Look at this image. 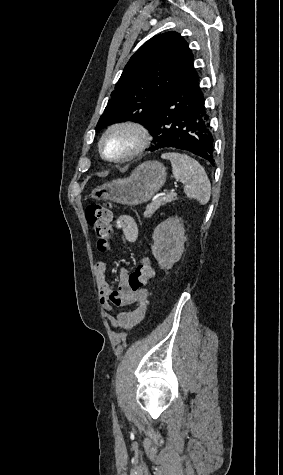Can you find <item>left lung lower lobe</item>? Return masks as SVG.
I'll list each match as a JSON object with an SVG mask.
<instances>
[{
	"instance_id": "obj_1",
	"label": "left lung lower lobe",
	"mask_w": 283,
	"mask_h": 475,
	"mask_svg": "<svg viewBox=\"0 0 283 475\" xmlns=\"http://www.w3.org/2000/svg\"><path fill=\"white\" fill-rule=\"evenodd\" d=\"M146 128L154 137L150 151L178 148L201 156L214 165V138L196 71L164 96Z\"/></svg>"
}]
</instances>
